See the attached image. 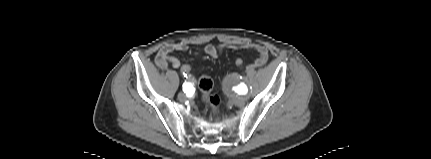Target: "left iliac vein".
I'll use <instances>...</instances> for the list:
<instances>
[{
    "instance_id": "1",
    "label": "left iliac vein",
    "mask_w": 431,
    "mask_h": 159,
    "mask_svg": "<svg viewBox=\"0 0 431 159\" xmlns=\"http://www.w3.org/2000/svg\"><path fill=\"white\" fill-rule=\"evenodd\" d=\"M244 101H245V98H244V97H239V98L236 100V103H237L238 105H241V104H243V103H244Z\"/></svg>"
}]
</instances>
